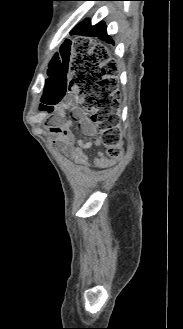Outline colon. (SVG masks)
Here are the masks:
<instances>
[{
	"instance_id": "1",
	"label": "colon",
	"mask_w": 183,
	"mask_h": 329,
	"mask_svg": "<svg viewBox=\"0 0 183 329\" xmlns=\"http://www.w3.org/2000/svg\"><path fill=\"white\" fill-rule=\"evenodd\" d=\"M71 44V37L63 38ZM93 37H78L72 55H45L46 73L54 74V81H43L47 96L44 101L49 109H85L97 125L102 143L107 147V159L120 157L121 133L118 117V101L111 95L114 82L104 79L101 73H120V66H103V62H115V55H98L102 49L92 48ZM69 50V45H66Z\"/></svg>"
}]
</instances>
